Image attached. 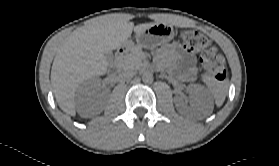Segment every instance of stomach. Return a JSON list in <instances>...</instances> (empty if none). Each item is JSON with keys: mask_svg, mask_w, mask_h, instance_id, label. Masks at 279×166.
Listing matches in <instances>:
<instances>
[{"mask_svg": "<svg viewBox=\"0 0 279 166\" xmlns=\"http://www.w3.org/2000/svg\"><path fill=\"white\" fill-rule=\"evenodd\" d=\"M174 30L164 23H155L146 30L136 34L135 39L140 47L154 48L171 41L174 37ZM132 41H127L125 46L131 48Z\"/></svg>", "mask_w": 279, "mask_h": 166, "instance_id": "1", "label": "stomach"}]
</instances>
